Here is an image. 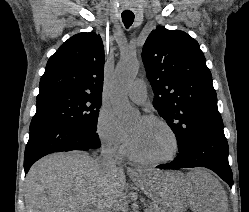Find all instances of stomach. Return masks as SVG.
<instances>
[{
    "instance_id": "obj_1",
    "label": "stomach",
    "mask_w": 249,
    "mask_h": 212,
    "mask_svg": "<svg viewBox=\"0 0 249 212\" xmlns=\"http://www.w3.org/2000/svg\"><path fill=\"white\" fill-rule=\"evenodd\" d=\"M139 180L148 198H165L153 199V204H170L160 205V210H189V205H179L190 198V193H186L190 179L179 175V170H146Z\"/></svg>"
}]
</instances>
